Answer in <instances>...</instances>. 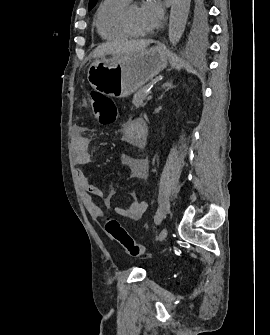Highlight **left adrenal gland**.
Here are the masks:
<instances>
[{
    "label": "left adrenal gland",
    "mask_w": 270,
    "mask_h": 335,
    "mask_svg": "<svg viewBox=\"0 0 270 335\" xmlns=\"http://www.w3.org/2000/svg\"><path fill=\"white\" fill-rule=\"evenodd\" d=\"M173 82L174 80H171V82H165V84H163L162 86L163 90H165V92H169V90H173V88H175Z\"/></svg>",
    "instance_id": "a2214340"
}]
</instances>
